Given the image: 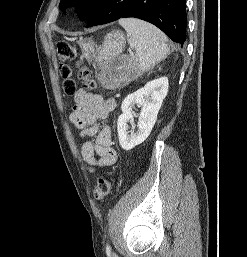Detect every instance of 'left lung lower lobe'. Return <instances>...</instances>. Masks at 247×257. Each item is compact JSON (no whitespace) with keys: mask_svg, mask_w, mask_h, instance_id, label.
I'll return each instance as SVG.
<instances>
[{"mask_svg":"<svg viewBox=\"0 0 247 257\" xmlns=\"http://www.w3.org/2000/svg\"><path fill=\"white\" fill-rule=\"evenodd\" d=\"M186 0H103L88 18L86 27L135 17L160 28L174 42L186 40Z\"/></svg>","mask_w":247,"mask_h":257,"instance_id":"1","label":"left lung lower lobe"}]
</instances>
